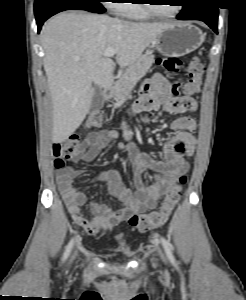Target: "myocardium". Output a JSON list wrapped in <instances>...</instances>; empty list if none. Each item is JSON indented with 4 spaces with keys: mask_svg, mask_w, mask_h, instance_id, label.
I'll use <instances>...</instances> for the list:
<instances>
[{
    "mask_svg": "<svg viewBox=\"0 0 246 300\" xmlns=\"http://www.w3.org/2000/svg\"><path fill=\"white\" fill-rule=\"evenodd\" d=\"M147 3H145L143 6L144 8L152 15V16H155V17H158V18H164V19H167V18H173V17H176L177 15H179V13L181 12L182 10V6L181 5H178L177 6V9L171 13V14H164V13H161L157 8H156V5L154 3H152V1L150 0H146Z\"/></svg>",
    "mask_w": 246,
    "mask_h": 300,
    "instance_id": "f54148a6",
    "label": "myocardium"
}]
</instances>
